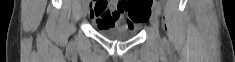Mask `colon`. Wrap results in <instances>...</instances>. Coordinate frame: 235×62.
<instances>
[{"label":"colon","mask_w":235,"mask_h":62,"mask_svg":"<svg viewBox=\"0 0 235 62\" xmlns=\"http://www.w3.org/2000/svg\"><path fill=\"white\" fill-rule=\"evenodd\" d=\"M151 1V0H150ZM98 9L105 8V3H97L95 5ZM121 9L126 13L127 19L132 24H137L146 20L149 6L144 5L141 1H127L124 4L120 5Z\"/></svg>","instance_id":"5ec220e1"}]
</instances>
